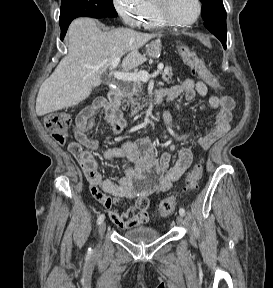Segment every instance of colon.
I'll return each instance as SVG.
<instances>
[{
    "label": "colon",
    "mask_w": 273,
    "mask_h": 288,
    "mask_svg": "<svg viewBox=\"0 0 273 288\" xmlns=\"http://www.w3.org/2000/svg\"><path fill=\"white\" fill-rule=\"evenodd\" d=\"M179 51L185 62L191 66L208 85L217 90L221 88L217 78L207 69L204 62L193 50L185 45H181ZM71 121V116L66 112H52L45 116L44 126L57 144L64 145L68 139ZM202 175L203 163L200 161L196 163L187 174L183 183L182 192L187 194L194 191L198 187ZM176 203L177 196H170L163 199L158 207V214L161 217H168L174 212Z\"/></svg>",
    "instance_id": "obj_1"
}]
</instances>
